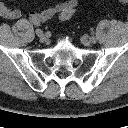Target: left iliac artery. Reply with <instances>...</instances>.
Instances as JSON below:
<instances>
[{
    "label": "left iliac artery",
    "mask_w": 128,
    "mask_h": 128,
    "mask_svg": "<svg viewBox=\"0 0 128 128\" xmlns=\"http://www.w3.org/2000/svg\"><path fill=\"white\" fill-rule=\"evenodd\" d=\"M90 40L92 41V43H96V38L95 37H91Z\"/></svg>",
    "instance_id": "44dca946"
}]
</instances>
